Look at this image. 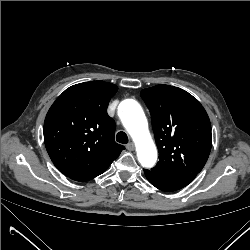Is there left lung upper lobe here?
Wrapping results in <instances>:
<instances>
[{
  "instance_id": "obj_1",
  "label": "left lung upper lobe",
  "mask_w": 250,
  "mask_h": 250,
  "mask_svg": "<svg viewBox=\"0 0 250 250\" xmlns=\"http://www.w3.org/2000/svg\"><path fill=\"white\" fill-rule=\"evenodd\" d=\"M152 120L159 162L151 171L159 174H198L212 145L209 117L183 89L157 85L142 90Z\"/></svg>"
}]
</instances>
